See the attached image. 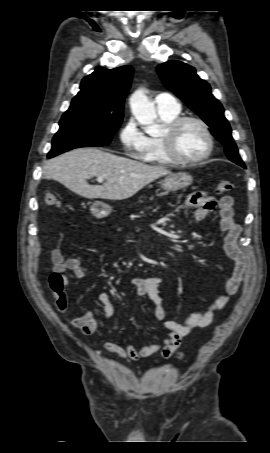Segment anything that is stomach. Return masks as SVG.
<instances>
[{
    "label": "stomach",
    "mask_w": 270,
    "mask_h": 453,
    "mask_svg": "<svg viewBox=\"0 0 270 453\" xmlns=\"http://www.w3.org/2000/svg\"><path fill=\"white\" fill-rule=\"evenodd\" d=\"M193 178L190 174L186 172H179L174 174H169L161 183V186L166 191H177L183 188H186L192 184ZM91 214L98 218L107 217L112 208L108 204H105L100 201H95L90 208Z\"/></svg>",
    "instance_id": "0dacf381"
}]
</instances>
